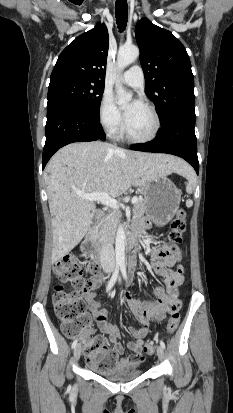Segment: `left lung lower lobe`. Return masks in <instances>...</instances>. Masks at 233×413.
<instances>
[{"label":"left lung lower lobe","instance_id":"0a47b994","mask_svg":"<svg viewBox=\"0 0 233 413\" xmlns=\"http://www.w3.org/2000/svg\"><path fill=\"white\" fill-rule=\"evenodd\" d=\"M194 127L195 117L176 114L162 122L161 131L155 139L145 144L132 146L130 149L179 156L190 163L198 174L199 162Z\"/></svg>","mask_w":233,"mask_h":413}]
</instances>
